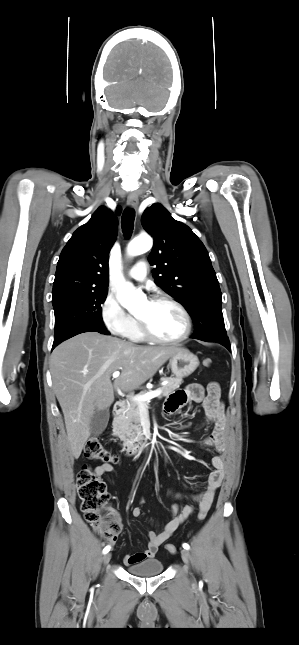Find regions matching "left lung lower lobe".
Segmentation results:
<instances>
[{
  "label": "left lung lower lobe",
  "instance_id": "0a47b994",
  "mask_svg": "<svg viewBox=\"0 0 299 645\" xmlns=\"http://www.w3.org/2000/svg\"><path fill=\"white\" fill-rule=\"evenodd\" d=\"M199 340H201V339H199ZM203 341H212V342L220 343L223 346H225L229 351H231L230 342H229L228 336H226V334L215 335V336L206 338Z\"/></svg>",
  "mask_w": 299,
  "mask_h": 645
}]
</instances>
